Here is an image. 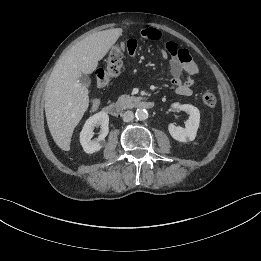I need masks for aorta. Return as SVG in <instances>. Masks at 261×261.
<instances>
[{
    "label": "aorta",
    "instance_id": "obj_1",
    "mask_svg": "<svg viewBox=\"0 0 261 261\" xmlns=\"http://www.w3.org/2000/svg\"><path fill=\"white\" fill-rule=\"evenodd\" d=\"M137 120L143 121L148 118V111L144 108H138L135 113Z\"/></svg>",
    "mask_w": 261,
    "mask_h": 261
}]
</instances>
